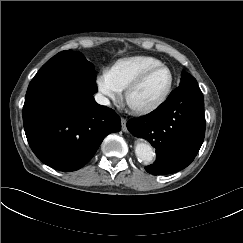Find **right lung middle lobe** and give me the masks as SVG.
<instances>
[{"label":"right lung middle lobe","instance_id":"right-lung-middle-lobe-1","mask_svg":"<svg viewBox=\"0 0 243 243\" xmlns=\"http://www.w3.org/2000/svg\"><path fill=\"white\" fill-rule=\"evenodd\" d=\"M36 76H71L89 80L96 79L92 63L88 62L81 53L72 50L56 54L43 65Z\"/></svg>","mask_w":243,"mask_h":243}]
</instances>
